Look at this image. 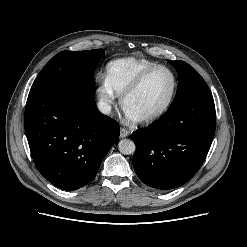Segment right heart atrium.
<instances>
[{"label": "right heart atrium", "mask_w": 247, "mask_h": 247, "mask_svg": "<svg viewBox=\"0 0 247 247\" xmlns=\"http://www.w3.org/2000/svg\"><path fill=\"white\" fill-rule=\"evenodd\" d=\"M97 79L99 82L97 88L98 99L105 108H110L113 105L117 94L105 75L100 74Z\"/></svg>", "instance_id": "1"}]
</instances>
